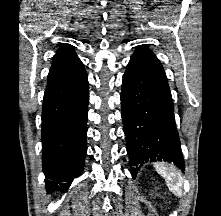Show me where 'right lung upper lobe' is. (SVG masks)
Segmentation results:
<instances>
[{
	"label": "right lung upper lobe",
	"mask_w": 221,
	"mask_h": 216,
	"mask_svg": "<svg viewBox=\"0 0 221 216\" xmlns=\"http://www.w3.org/2000/svg\"><path fill=\"white\" fill-rule=\"evenodd\" d=\"M82 70H84V65L76 55L74 47L71 44L63 43L53 56L47 87Z\"/></svg>",
	"instance_id": "cb5924a9"
}]
</instances>
